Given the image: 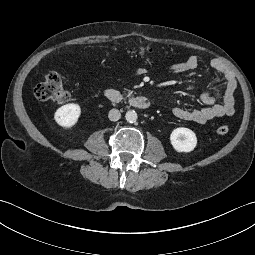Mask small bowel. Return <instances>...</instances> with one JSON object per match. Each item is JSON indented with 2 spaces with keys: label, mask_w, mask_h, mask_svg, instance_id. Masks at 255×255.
Returning <instances> with one entry per match:
<instances>
[{
  "label": "small bowel",
  "mask_w": 255,
  "mask_h": 255,
  "mask_svg": "<svg viewBox=\"0 0 255 255\" xmlns=\"http://www.w3.org/2000/svg\"><path fill=\"white\" fill-rule=\"evenodd\" d=\"M199 60L196 56L177 62L170 67L173 74H182L197 69ZM210 67L219 73L224 81V95L222 102H218L215 92L205 91L201 94V101L206 105L200 109H186L176 107L173 109L175 117L181 120L191 121L198 124L207 123L215 118L231 116L235 112V91L237 81L231 70L219 59H212Z\"/></svg>",
  "instance_id": "small-bowel-1"
}]
</instances>
